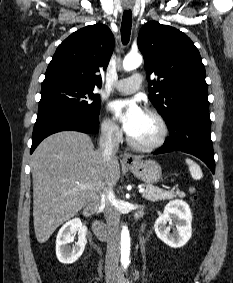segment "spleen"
<instances>
[{"label": "spleen", "instance_id": "spleen-1", "mask_svg": "<svg viewBox=\"0 0 233 283\" xmlns=\"http://www.w3.org/2000/svg\"><path fill=\"white\" fill-rule=\"evenodd\" d=\"M186 164L189 167V171H190V174H191L193 179L200 180L203 177L202 170H201L200 166L196 162H194L193 160L187 158L186 159Z\"/></svg>", "mask_w": 233, "mask_h": 283}]
</instances>
